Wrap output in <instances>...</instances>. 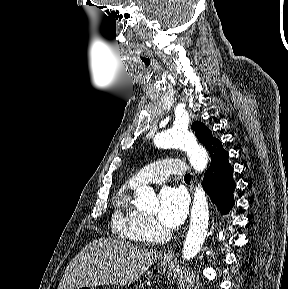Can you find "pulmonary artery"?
<instances>
[{
    "instance_id": "e3ab8cb5",
    "label": "pulmonary artery",
    "mask_w": 288,
    "mask_h": 289,
    "mask_svg": "<svg viewBox=\"0 0 288 289\" xmlns=\"http://www.w3.org/2000/svg\"><path fill=\"white\" fill-rule=\"evenodd\" d=\"M186 173L187 165L183 161L175 158H164L147 164L137 171L131 177L130 184L138 186L145 183H161L169 175L182 176Z\"/></svg>"
}]
</instances>
